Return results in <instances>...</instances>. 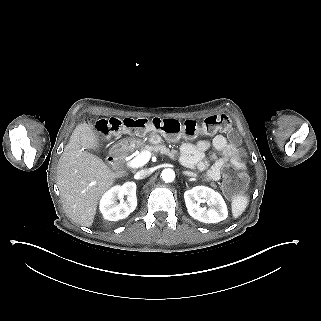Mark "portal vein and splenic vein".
<instances>
[{
	"instance_id": "portal-vein-and-splenic-vein-1",
	"label": "portal vein and splenic vein",
	"mask_w": 321,
	"mask_h": 321,
	"mask_svg": "<svg viewBox=\"0 0 321 321\" xmlns=\"http://www.w3.org/2000/svg\"><path fill=\"white\" fill-rule=\"evenodd\" d=\"M152 156H157V153H152V151H142L139 155L128 162V166L132 168H138L149 162Z\"/></svg>"
}]
</instances>
